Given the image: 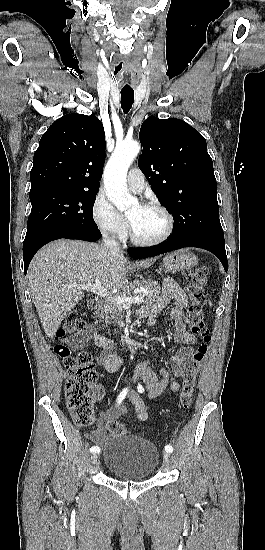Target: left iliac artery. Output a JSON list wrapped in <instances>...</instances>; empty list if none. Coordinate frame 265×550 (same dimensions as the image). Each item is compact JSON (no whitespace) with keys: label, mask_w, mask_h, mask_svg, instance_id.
Instances as JSON below:
<instances>
[{"label":"left iliac artery","mask_w":265,"mask_h":550,"mask_svg":"<svg viewBox=\"0 0 265 550\" xmlns=\"http://www.w3.org/2000/svg\"><path fill=\"white\" fill-rule=\"evenodd\" d=\"M138 391H139L140 393H142V392L144 391V389L142 388L141 385L138 386ZM165 451L168 452V453H172V451H173L172 446L166 445V446H165Z\"/></svg>","instance_id":"obj_1"}]
</instances>
